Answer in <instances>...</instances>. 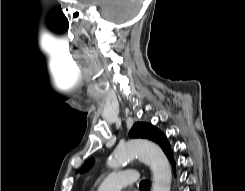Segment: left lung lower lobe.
Returning a JSON list of instances; mask_svg holds the SVG:
<instances>
[{"mask_svg": "<svg viewBox=\"0 0 245 191\" xmlns=\"http://www.w3.org/2000/svg\"><path fill=\"white\" fill-rule=\"evenodd\" d=\"M167 158L170 160V162H171V164H172V167H173V170H174V173H175L176 167H175V161H174V158H173V151H171V152L167 155Z\"/></svg>", "mask_w": 245, "mask_h": 191, "instance_id": "obj_1", "label": "left lung lower lobe"}]
</instances>
